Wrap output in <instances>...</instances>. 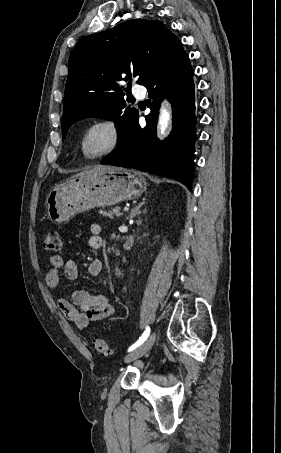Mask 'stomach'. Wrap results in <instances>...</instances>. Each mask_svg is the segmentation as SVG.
Returning <instances> with one entry per match:
<instances>
[{
	"label": "stomach",
	"mask_w": 281,
	"mask_h": 453,
	"mask_svg": "<svg viewBox=\"0 0 281 453\" xmlns=\"http://www.w3.org/2000/svg\"><path fill=\"white\" fill-rule=\"evenodd\" d=\"M147 182L138 170L114 166L112 170L94 172L84 178H71L55 184L47 194L48 218L56 224L68 222L74 214L95 206H111L132 200L146 190Z\"/></svg>",
	"instance_id": "0dacf381"
}]
</instances>
